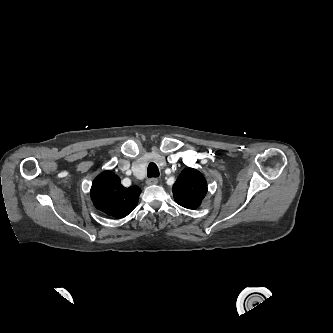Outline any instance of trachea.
<instances>
[{
	"label": "trachea",
	"instance_id": "trachea-1",
	"mask_svg": "<svg viewBox=\"0 0 333 333\" xmlns=\"http://www.w3.org/2000/svg\"><path fill=\"white\" fill-rule=\"evenodd\" d=\"M147 175L149 178L159 176V169L155 163L149 164L148 170H147Z\"/></svg>",
	"mask_w": 333,
	"mask_h": 333
}]
</instances>
